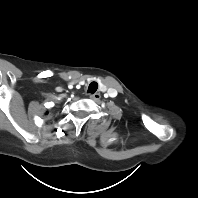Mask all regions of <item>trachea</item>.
Masks as SVG:
<instances>
[{"label":"trachea","instance_id":"1","mask_svg":"<svg viewBox=\"0 0 198 198\" xmlns=\"http://www.w3.org/2000/svg\"><path fill=\"white\" fill-rule=\"evenodd\" d=\"M98 84L96 82H91L88 87V93L94 94L97 91Z\"/></svg>","mask_w":198,"mask_h":198}]
</instances>
